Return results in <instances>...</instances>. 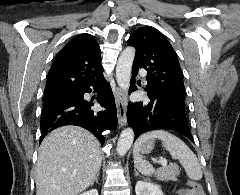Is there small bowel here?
Here are the masks:
<instances>
[{
	"instance_id": "1",
	"label": "small bowel",
	"mask_w": 240,
	"mask_h": 195,
	"mask_svg": "<svg viewBox=\"0 0 240 195\" xmlns=\"http://www.w3.org/2000/svg\"><path fill=\"white\" fill-rule=\"evenodd\" d=\"M187 188H200V193H196V195H204V192H203L201 186H188L186 188L179 189L176 192V195H189V193H187Z\"/></svg>"
}]
</instances>
